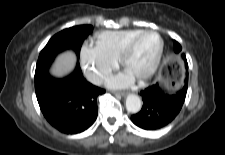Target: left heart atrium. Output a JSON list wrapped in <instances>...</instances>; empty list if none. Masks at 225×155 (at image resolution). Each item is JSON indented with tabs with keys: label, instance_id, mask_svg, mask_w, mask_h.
<instances>
[{
	"label": "left heart atrium",
	"instance_id": "1",
	"mask_svg": "<svg viewBox=\"0 0 225 155\" xmlns=\"http://www.w3.org/2000/svg\"><path fill=\"white\" fill-rule=\"evenodd\" d=\"M135 80V77H133L130 73L127 71H124L116 76L111 77L107 85L112 88H121L128 86Z\"/></svg>",
	"mask_w": 225,
	"mask_h": 155
}]
</instances>
